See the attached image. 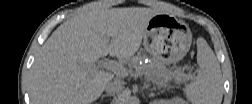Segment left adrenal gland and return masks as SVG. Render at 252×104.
Instances as JSON below:
<instances>
[{"mask_svg":"<svg viewBox=\"0 0 252 104\" xmlns=\"http://www.w3.org/2000/svg\"><path fill=\"white\" fill-rule=\"evenodd\" d=\"M152 90H156V88L154 87V88H152Z\"/></svg>","mask_w":252,"mask_h":104,"instance_id":"1","label":"left adrenal gland"}]
</instances>
